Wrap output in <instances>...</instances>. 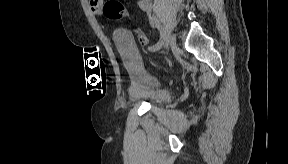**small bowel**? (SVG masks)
Here are the masks:
<instances>
[{"label":"small bowel","mask_w":288,"mask_h":164,"mask_svg":"<svg viewBox=\"0 0 288 164\" xmlns=\"http://www.w3.org/2000/svg\"><path fill=\"white\" fill-rule=\"evenodd\" d=\"M140 7H141V9H147L148 8V1H142L141 3H140Z\"/></svg>","instance_id":"obj_1"}]
</instances>
